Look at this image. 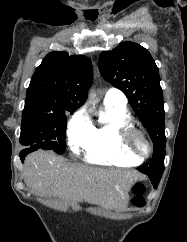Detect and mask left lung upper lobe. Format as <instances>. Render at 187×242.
I'll return each instance as SVG.
<instances>
[{"label":"left lung upper lobe","mask_w":187,"mask_h":242,"mask_svg":"<svg viewBox=\"0 0 187 242\" xmlns=\"http://www.w3.org/2000/svg\"><path fill=\"white\" fill-rule=\"evenodd\" d=\"M98 66L103 78L127 96L154 144L152 158L138 170L162 176L166 145L165 112L155 61L139 44L123 42L112 51L102 52Z\"/></svg>","instance_id":"left-lung-upper-lobe-1"}]
</instances>
